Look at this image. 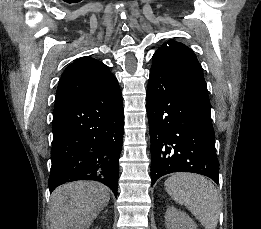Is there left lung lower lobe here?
I'll return each instance as SVG.
<instances>
[{"label":"left lung lower lobe","mask_w":261,"mask_h":229,"mask_svg":"<svg viewBox=\"0 0 261 229\" xmlns=\"http://www.w3.org/2000/svg\"><path fill=\"white\" fill-rule=\"evenodd\" d=\"M147 115L152 184L174 172L197 173L218 183L219 161L204 79L151 67Z\"/></svg>","instance_id":"0a47b994"}]
</instances>
